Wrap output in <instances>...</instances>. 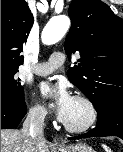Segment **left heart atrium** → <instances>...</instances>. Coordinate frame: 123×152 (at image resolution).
I'll use <instances>...</instances> for the list:
<instances>
[{
    "instance_id": "1",
    "label": "left heart atrium",
    "mask_w": 123,
    "mask_h": 152,
    "mask_svg": "<svg viewBox=\"0 0 123 152\" xmlns=\"http://www.w3.org/2000/svg\"><path fill=\"white\" fill-rule=\"evenodd\" d=\"M39 92L45 100L52 104L58 118L61 121H65L74 99L68 92L65 84L61 82H42L39 85Z\"/></svg>"
}]
</instances>
